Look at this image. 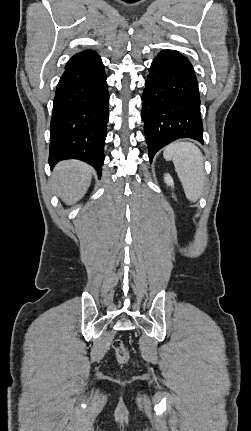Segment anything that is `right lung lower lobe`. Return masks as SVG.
<instances>
[{"instance_id": "obj_1", "label": "right lung lower lobe", "mask_w": 251, "mask_h": 431, "mask_svg": "<svg viewBox=\"0 0 251 431\" xmlns=\"http://www.w3.org/2000/svg\"><path fill=\"white\" fill-rule=\"evenodd\" d=\"M109 95L104 66L91 50L75 54L56 88L50 125L49 164L79 159L101 176Z\"/></svg>"}]
</instances>
